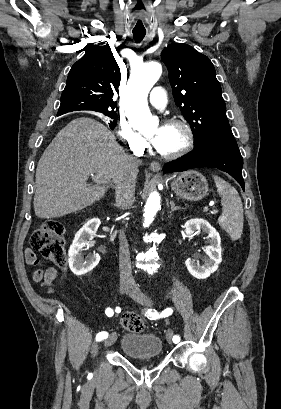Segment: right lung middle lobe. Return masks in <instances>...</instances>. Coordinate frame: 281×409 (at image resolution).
I'll use <instances>...</instances> for the list:
<instances>
[{
	"mask_svg": "<svg viewBox=\"0 0 281 409\" xmlns=\"http://www.w3.org/2000/svg\"><path fill=\"white\" fill-rule=\"evenodd\" d=\"M103 113L105 116H108L112 119H117V114L114 111H107V112H101Z\"/></svg>",
	"mask_w": 281,
	"mask_h": 409,
	"instance_id": "right-lung-middle-lobe-1",
	"label": "right lung middle lobe"
}]
</instances>
